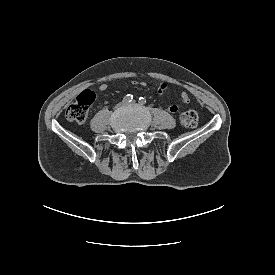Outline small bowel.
<instances>
[{"instance_id": "obj_1", "label": "small bowel", "mask_w": 275, "mask_h": 275, "mask_svg": "<svg viewBox=\"0 0 275 275\" xmlns=\"http://www.w3.org/2000/svg\"><path fill=\"white\" fill-rule=\"evenodd\" d=\"M140 85H141V86H145L146 83H145V82H140ZM110 88H111V85H110L109 83H103V84H101V85L99 86V91H106V90H108V89H110ZM163 92H164V86H161V87L158 89V93L161 95ZM181 101H182L183 103H189V101H190V96H189V94H188L187 92H182V94H181ZM169 111H170L171 113L177 112V111H178V106H177V105H171V106L169 107Z\"/></svg>"}]
</instances>
